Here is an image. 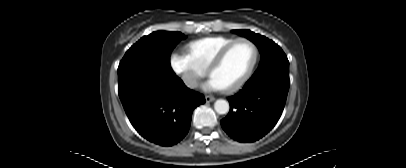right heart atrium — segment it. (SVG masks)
Wrapping results in <instances>:
<instances>
[{
    "mask_svg": "<svg viewBox=\"0 0 406 168\" xmlns=\"http://www.w3.org/2000/svg\"><path fill=\"white\" fill-rule=\"evenodd\" d=\"M170 64L174 72L181 78L183 83L193 88L205 75V69L201 68L188 53L175 51L170 56Z\"/></svg>",
    "mask_w": 406,
    "mask_h": 168,
    "instance_id": "right-heart-atrium-1",
    "label": "right heart atrium"
}]
</instances>
